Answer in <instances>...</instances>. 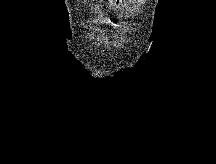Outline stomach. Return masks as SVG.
Here are the masks:
<instances>
[{"label": "stomach", "instance_id": "0dacf381", "mask_svg": "<svg viewBox=\"0 0 216 164\" xmlns=\"http://www.w3.org/2000/svg\"><path fill=\"white\" fill-rule=\"evenodd\" d=\"M110 3H124V0H110ZM107 20H114V15H107Z\"/></svg>", "mask_w": 216, "mask_h": 164}]
</instances>
